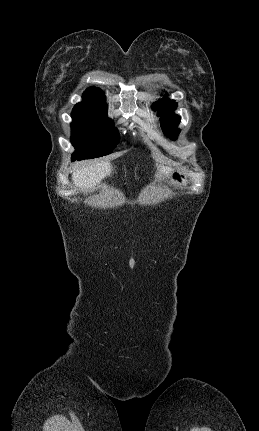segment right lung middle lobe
Segmentation results:
<instances>
[{"label": "right lung middle lobe", "mask_w": 259, "mask_h": 431, "mask_svg": "<svg viewBox=\"0 0 259 431\" xmlns=\"http://www.w3.org/2000/svg\"><path fill=\"white\" fill-rule=\"evenodd\" d=\"M71 117V141L75 147L73 160L92 159L111 152L119 135L112 120L107 117L105 102L78 103Z\"/></svg>", "instance_id": "right-lung-middle-lobe-1"}]
</instances>
